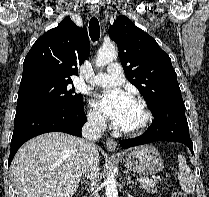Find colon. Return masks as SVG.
<instances>
[{"mask_svg": "<svg viewBox=\"0 0 209 197\" xmlns=\"http://www.w3.org/2000/svg\"><path fill=\"white\" fill-rule=\"evenodd\" d=\"M171 195L172 197H187L184 192L179 190H174Z\"/></svg>", "mask_w": 209, "mask_h": 197, "instance_id": "1", "label": "colon"}]
</instances>
